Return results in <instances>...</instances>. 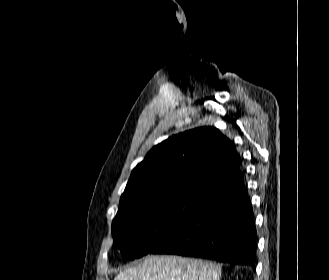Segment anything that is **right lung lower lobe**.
I'll return each mask as SVG.
<instances>
[{
  "mask_svg": "<svg viewBox=\"0 0 329 280\" xmlns=\"http://www.w3.org/2000/svg\"><path fill=\"white\" fill-rule=\"evenodd\" d=\"M149 254H176L253 265L256 228L241 171L215 185Z\"/></svg>",
  "mask_w": 329,
  "mask_h": 280,
  "instance_id": "98d812e1",
  "label": "right lung lower lobe"
}]
</instances>
